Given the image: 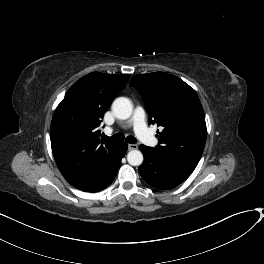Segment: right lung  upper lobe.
I'll return each instance as SVG.
<instances>
[{"label":"right lung upper lobe","mask_w":264,"mask_h":264,"mask_svg":"<svg viewBox=\"0 0 264 264\" xmlns=\"http://www.w3.org/2000/svg\"><path fill=\"white\" fill-rule=\"evenodd\" d=\"M128 79L129 75L89 73L70 87L54 112L52 152L60 172L75 188L99 180L117 158L120 142L100 138L97 128Z\"/></svg>","instance_id":"right-lung-upper-lobe-1"}]
</instances>
